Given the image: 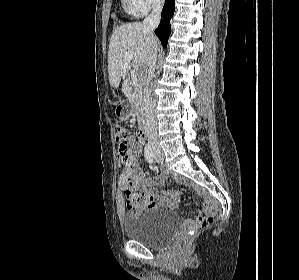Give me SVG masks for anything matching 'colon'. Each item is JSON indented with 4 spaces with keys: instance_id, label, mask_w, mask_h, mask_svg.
I'll list each match as a JSON object with an SVG mask.
<instances>
[{
    "instance_id": "1",
    "label": "colon",
    "mask_w": 299,
    "mask_h": 280,
    "mask_svg": "<svg viewBox=\"0 0 299 280\" xmlns=\"http://www.w3.org/2000/svg\"><path fill=\"white\" fill-rule=\"evenodd\" d=\"M115 138L117 143L118 158L121 164L126 169L129 167L130 134L127 129L123 127H117L115 129ZM127 198H128V209L132 213L137 212L138 206L136 205L134 196L131 192H128ZM213 221H214V215L209 216L207 219L202 221V223L197 226L187 227L185 231V237L193 234L196 231L197 227H204L212 223Z\"/></svg>"
}]
</instances>
